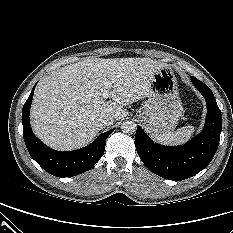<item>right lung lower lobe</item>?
I'll return each instance as SVG.
<instances>
[{"mask_svg": "<svg viewBox=\"0 0 233 233\" xmlns=\"http://www.w3.org/2000/svg\"><path fill=\"white\" fill-rule=\"evenodd\" d=\"M35 86L23 106V137L30 156L48 173L57 177H71L91 169L99 161L105 150V142L111 129L90 145L69 152L56 151L41 142L32 132L29 112Z\"/></svg>", "mask_w": 233, "mask_h": 233, "instance_id": "obj_1", "label": "right lung lower lobe"}]
</instances>
